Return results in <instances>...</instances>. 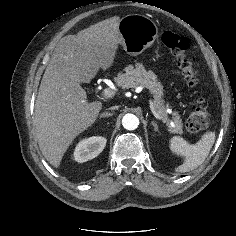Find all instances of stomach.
<instances>
[{
    "label": "stomach",
    "mask_w": 236,
    "mask_h": 236,
    "mask_svg": "<svg viewBox=\"0 0 236 236\" xmlns=\"http://www.w3.org/2000/svg\"><path fill=\"white\" fill-rule=\"evenodd\" d=\"M121 45L131 56H137L149 48L158 36L153 20L140 14L124 16L118 26Z\"/></svg>",
    "instance_id": "obj_1"
}]
</instances>
